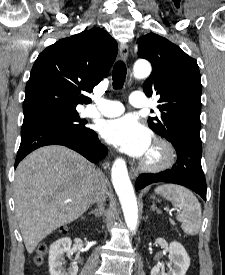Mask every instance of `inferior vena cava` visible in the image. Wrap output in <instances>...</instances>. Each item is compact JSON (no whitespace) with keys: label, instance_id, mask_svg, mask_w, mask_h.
<instances>
[{"label":"inferior vena cava","instance_id":"obj_1","mask_svg":"<svg viewBox=\"0 0 225 275\" xmlns=\"http://www.w3.org/2000/svg\"><path fill=\"white\" fill-rule=\"evenodd\" d=\"M106 191L105 176L101 171H98L91 192L93 202H97L98 206H103V202L106 198Z\"/></svg>","mask_w":225,"mask_h":275}]
</instances>
